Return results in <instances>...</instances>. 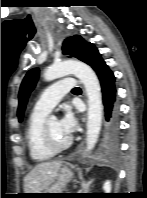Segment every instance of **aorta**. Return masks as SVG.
Here are the masks:
<instances>
[{"label": "aorta", "mask_w": 147, "mask_h": 198, "mask_svg": "<svg viewBox=\"0 0 147 198\" xmlns=\"http://www.w3.org/2000/svg\"><path fill=\"white\" fill-rule=\"evenodd\" d=\"M74 74L85 86L88 97V119H87V149L91 151L99 137L102 121V94L99 80L94 71L85 63L68 60L54 63L44 72V79L52 81L57 78ZM51 120L55 117L51 116Z\"/></svg>", "instance_id": "1"}]
</instances>
